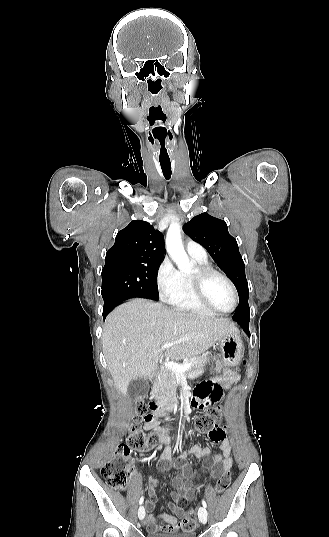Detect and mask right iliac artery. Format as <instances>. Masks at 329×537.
Returning <instances> with one entry per match:
<instances>
[{
  "label": "right iliac artery",
  "instance_id": "obj_1",
  "mask_svg": "<svg viewBox=\"0 0 329 537\" xmlns=\"http://www.w3.org/2000/svg\"><path fill=\"white\" fill-rule=\"evenodd\" d=\"M144 501V496H142L140 499H139V504L141 505Z\"/></svg>",
  "mask_w": 329,
  "mask_h": 537
}]
</instances>
